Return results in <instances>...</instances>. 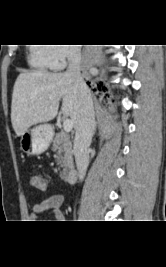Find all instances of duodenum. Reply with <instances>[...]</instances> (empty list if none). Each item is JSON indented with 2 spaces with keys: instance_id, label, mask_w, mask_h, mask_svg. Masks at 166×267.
<instances>
[{
  "instance_id": "obj_1",
  "label": "duodenum",
  "mask_w": 166,
  "mask_h": 267,
  "mask_svg": "<svg viewBox=\"0 0 166 267\" xmlns=\"http://www.w3.org/2000/svg\"><path fill=\"white\" fill-rule=\"evenodd\" d=\"M66 181L69 183H73L75 182L76 178H77V170L75 168L69 169L66 174Z\"/></svg>"
}]
</instances>
